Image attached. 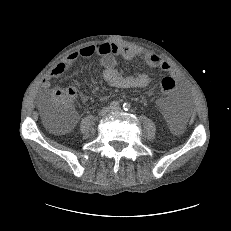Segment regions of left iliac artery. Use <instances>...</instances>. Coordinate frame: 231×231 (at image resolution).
Masks as SVG:
<instances>
[{
  "label": "left iliac artery",
  "mask_w": 231,
  "mask_h": 231,
  "mask_svg": "<svg viewBox=\"0 0 231 231\" xmlns=\"http://www.w3.org/2000/svg\"><path fill=\"white\" fill-rule=\"evenodd\" d=\"M130 104L129 103H124L123 104V109L125 110V111H128L129 109H130Z\"/></svg>",
  "instance_id": "44dca946"
}]
</instances>
